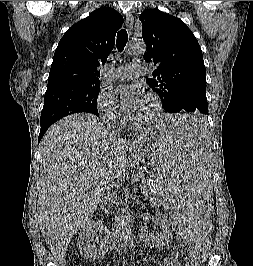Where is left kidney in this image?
<instances>
[{
	"instance_id": "5707ae66",
	"label": "left kidney",
	"mask_w": 253,
	"mask_h": 266,
	"mask_svg": "<svg viewBox=\"0 0 253 266\" xmlns=\"http://www.w3.org/2000/svg\"><path fill=\"white\" fill-rule=\"evenodd\" d=\"M157 222L161 228L160 232L154 233H148L144 230V233L142 234L144 240L148 244H152L155 247L163 246L170 242L172 235L169 228V223L167 219H165L163 216H160L157 218Z\"/></svg>"
}]
</instances>
